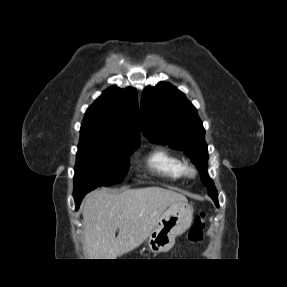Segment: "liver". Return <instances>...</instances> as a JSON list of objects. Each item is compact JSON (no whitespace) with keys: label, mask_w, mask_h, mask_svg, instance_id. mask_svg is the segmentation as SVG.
<instances>
[{"label":"liver","mask_w":287,"mask_h":287,"mask_svg":"<svg viewBox=\"0 0 287 287\" xmlns=\"http://www.w3.org/2000/svg\"><path fill=\"white\" fill-rule=\"evenodd\" d=\"M186 200L180 193L155 186L89 193L83 204L86 257L116 259L134 250L148 238L166 208Z\"/></svg>","instance_id":"obj_1"}]
</instances>
